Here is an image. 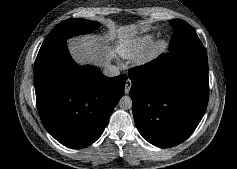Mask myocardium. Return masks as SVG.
<instances>
[{"label":"myocardium","instance_id":"myocardium-1","mask_svg":"<svg viewBox=\"0 0 237 169\" xmlns=\"http://www.w3.org/2000/svg\"><path fill=\"white\" fill-rule=\"evenodd\" d=\"M168 45V40L165 38L157 40L139 57L138 63L145 64L157 59L166 52Z\"/></svg>","mask_w":237,"mask_h":169}]
</instances>
